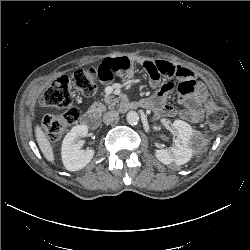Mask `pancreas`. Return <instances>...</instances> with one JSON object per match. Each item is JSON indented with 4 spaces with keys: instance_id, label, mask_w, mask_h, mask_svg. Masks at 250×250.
I'll return each instance as SVG.
<instances>
[{
    "instance_id": "obj_1",
    "label": "pancreas",
    "mask_w": 250,
    "mask_h": 250,
    "mask_svg": "<svg viewBox=\"0 0 250 250\" xmlns=\"http://www.w3.org/2000/svg\"><path fill=\"white\" fill-rule=\"evenodd\" d=\"M105 104L101 102H95L91 108L92 110H94L95 112H97L99 115H101L104 111H106L107 109H112L114 108V106L116 105V100L111 99L110 97H106L105 99Z\"/></svg>"
}]
</instances>
